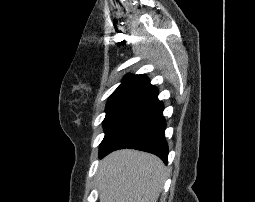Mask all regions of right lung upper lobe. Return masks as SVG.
Here are the masks:
<instances>
[{
    "label": "right lung upper lobe",
    "mask_w": 255,
    "mask_h": 202,
    "mask_svg": "<svg viewBox=\"0 0 255 202\" xmlns=\"http://www.w3.org/2000/svg\"><path fill=\"white\" fill-rule=\"evenodd\" d=\"M158 90L145 75H129L111 94L106 113H139L158 101Z\"/></svg>",
    "instance_id": "right-lung-upper-lobe-1"
}]
</instances>
